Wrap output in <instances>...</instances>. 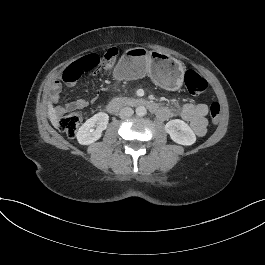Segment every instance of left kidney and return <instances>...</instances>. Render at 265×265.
<instances>
[{"label":"left kidney","instance_id":"5707ae66","mask_svg":"<svg viewBox=\"0 0 265 265\" xmlns=\"http://www.w3.org/2000/svg\"><path fill=\"white\" fill-rule=\"evenodd\" d=\"M165 132L169 134L170 139L182 146H191L196 142V135L191 129L188 123L180 120L174 119L166 123ZM179 130L181 132H179Z\"/></svg>","mask_w":265,"mask_h":265}]
</instances>
